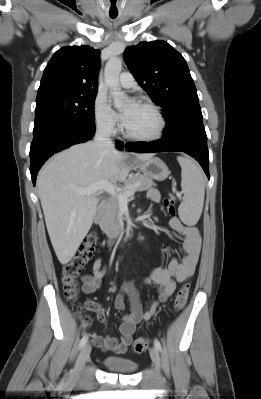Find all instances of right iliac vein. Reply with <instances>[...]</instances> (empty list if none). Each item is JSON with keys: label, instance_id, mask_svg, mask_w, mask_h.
Wrapping results in <instances>:
<instances>
[{"label": "right iliac vein", "instance_id": "right-iliac-vein-1", "mask_svg": "<svg viewBox=\"0 0 261 399\" xmlns=\"http://www.w3.org/2000/svg\"><path fill=\"white\" fill-rule=\"evenodd\" d=\"M90 352H91V345L90 344L84 345L76 362L75 370L77 373L82 371L87 359L89 358Z\"/></svg>", "mask_w": 261, "mask_h": 399}]
</instances>
